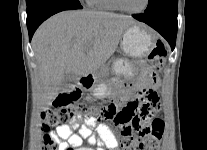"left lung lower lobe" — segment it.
<instances>
[{
    "instance_id": "0a47b994",
    "label": "left lung lower lobe",
    "mask_w": 207,
    "mask_h": 150,
    "mask_svg": "<svg viewBox=\"0 0 207 150\" xmlns=\"http://www.w3.org/2000/svg\"><path fill=\"white\" fill-rule=\"evenodd\" d=\"M177 5L178 0L170 1L154 12L138 14L133 17L158 31L169 42L173 50L178 29Z\"/></svg>"
}]
</instances>
